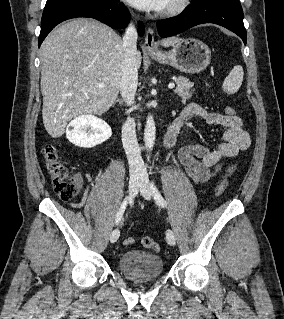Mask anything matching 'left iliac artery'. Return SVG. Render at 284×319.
<instances>
[{
	"instance_id": "1",
	"label": "left iliac artery",
	"mask_w": 284,
	"mask_h": 319,
	"mask_svg": "<svg viewBox=\"0 0 284 319\" xmlns=\"http://www.w3.org/2000/svg\"><path fill=\"white\" fill-rule=\"evenodd\" d=\"M151 190L156 203L162 207H167L166 201L162 197L161 193L159 192L153 181L151 182Z\"/></svg>"
}]
</instances>
